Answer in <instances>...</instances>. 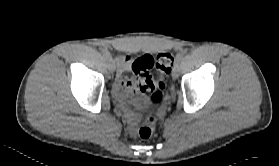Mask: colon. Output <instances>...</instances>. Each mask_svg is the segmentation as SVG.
<instances>
[{"instance_id":"1","label":"colon","mask_w":279,"mask_h":166,"mask_svg":"<svg viewBox=\"0 0 279 166\" xmlns=\"http://www.w3.org/2000/svg\"><path fill=\"white\" fill-rule=\"evenodd\" d=\"M175 56L172 52H163L153 58L144 55L136 58L131 66V71L135 77L137 88L147 94L148 100L153 104H159L163 98V90L171 73ZM155 68L158 78L154 79L150 71ZM156 121L153 116H149L138 129V136L142 139L151 137L155 130Z\"/></svg>"}]
</instances>
